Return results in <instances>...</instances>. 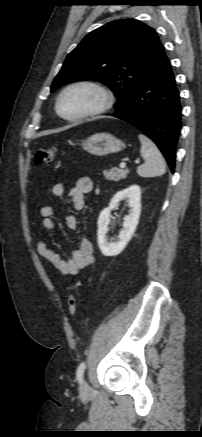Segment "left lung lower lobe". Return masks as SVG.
<instances>
[{
    "instance_id": "obj_1",
    "label": "left lung lower lobe",
    "mask_w": 202,
    "mask_h": 437,
    "mask_svg": "<svg viewBox=\"0 0 202 437\" xmlns=\"http://www.w3.org/2000/svg\"><path fill=\"white\" fill-rule=\"evenodd\" d=\"M114 117L136 126L159 147L171 172L181 129L180 96L168 58L121 106Z\"/></svg>"
}]
</instances>
